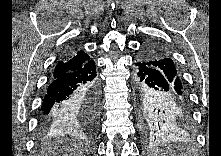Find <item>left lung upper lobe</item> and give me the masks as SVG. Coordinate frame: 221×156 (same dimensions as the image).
Segmentation results:
<instances>
[{"label":"left lung upper lobe","instance_id":"obj_1","mask_svg":"<svg viewBox=\"0 0 221 156\" xmlns=\"http://www.w3.org/2000/svg\"><path fill=\"white\" fill-rule=\"evenodd\" d=\"M139 59L142 60V62L144 63L153 65L164 70H168L169 72L173 73L176 79V86L178 87L179 95L183 100L190 104L184 84L181 80V75L175 63L171 58L167 57V54L163 48L156 44L148 45L145 48L144 52L139 56Z\"/></svg>","mask_w":221,"mask_h":156}]
</instances>
